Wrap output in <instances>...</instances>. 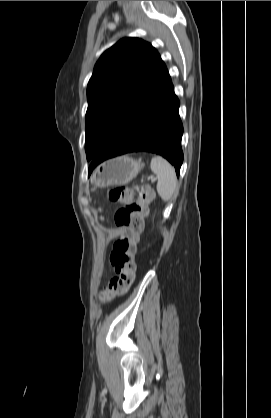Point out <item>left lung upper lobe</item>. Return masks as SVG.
<instances>
[{
  "label": "left lung upper lobe",
  "instance_id": "obj_1",
  "mask_svg": "<svg viewBox=\"0 0 271 418\" xmlns=\"http://www.w3.org/2000/svg\"><path fill=\"white\" fill-rule=\"evenodd\" d=\"M165 67L156 49L138 38H123L102 54L87 86L88 160L98 154Z\"/></svg>",
  "mask_w": 271,
  "mask_h": 418
}]
</instances>
